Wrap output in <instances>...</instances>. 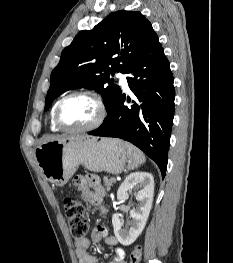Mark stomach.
<instances>
[{"label":"stomach","mask_w":233,"mask_h":263,"mask_svg":"<svg viewBox=\"0 0 233 263\" xmlns=\"http://www.w3.org/2000/svg\"><path fill=\"white\" fill-rule=\"evenodd\" d=\"M35 158L46 180L63 186L80 164L93 172L118 174L128 155L122 140L82 135L45 142L35 150Z\"/></svg>","instance_id":"1"}]
</instances>
